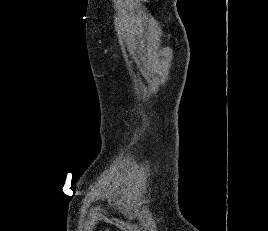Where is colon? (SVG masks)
<instances>
[{
    "label": "colon",
    "instance_id": "colon-1",
    "mask_svg": "<svg viewBox=\"0 0 268 231\" xmlns=\"http://www.w3.org/2000/svg\"><path fill=\"white\" fill-rule=\"evenodd\" d=\"M104 230H105V231H109V228H105Z\"/></svg>",
    "mask_w": 268,
    "mask_h": 231
}]
</instances>
